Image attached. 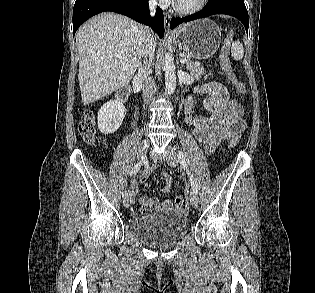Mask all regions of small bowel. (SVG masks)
<instances>
[{
    "label": "small bowel",
    "mask_w": 315,
    "mask_h": 293,
    "mask_svg": "<svg viewBox=\"0 0 315 293\" xmlns=\"http://www.w3.org/2000/svg\"><path fill=\"white\" fill-rule=\"evenodd\" d=\"M198 91L208 95L204 100L208 115H192L193 102L189 99L186 103V121L192 126L194 137L203 145L207 153H211L221 141L232 139L244 131L246 124L243 119V109L235 100L230 99L227 89L219 82L213 81L204 84ZM154 167V165L150 166L145 175ZM165 180L163 193H168L171 183L168 177H165ZM140 204L143 212L172 207L169 200L160 201L156 197L149 196H142Z\"/></svg>",
    "instance_id": "c3829d8e"
}]
</instances>
